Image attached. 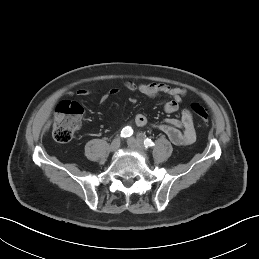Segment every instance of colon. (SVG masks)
<instances>
[{"label":"colon","mask_w":259,"mask_h":259,"mask_svg":"<svg viewBox=\"0 0 259 259\" xmlns=\"http://www.w3.org/2000/svg\"><path fill=\"white\" fill-rule=\"evenodd\" d=\"M192 111L198 116L200 122L207 126L210 116L205 108L198 103L191 105ZM83 115L82 106L73 101L62 102L56 109L53 123V136L58 142H68L71 140L74 131L80 124Z\"/></svg>","instance_id":"1"}]
</instances>
